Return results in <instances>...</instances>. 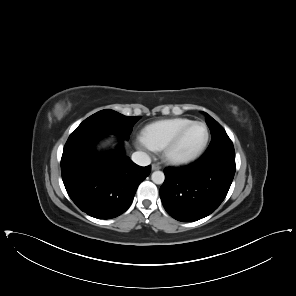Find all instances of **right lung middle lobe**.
I'll return each instance as SVG.
<instances>
[{
    "instance_id": "dd1d6c3e",
    "label": "right lung middle lobe",
    "mask_w": 296,
    "mask_h": 296,
    "mask_svg": "<svg viewBox=\"0 0 296 296\" xmlns=\"http://www.w3.org/2000/svg\"><path fill=\"white\" fill-rule=\"evenodd\" d=\"M141 116H124L113 110H101L85 119L72 134L105 133L128 139Z\"/></svg>"
}]
</instances>
